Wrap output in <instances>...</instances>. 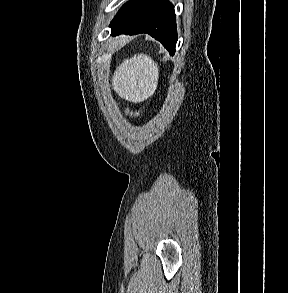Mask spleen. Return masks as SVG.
I'll use <instances>...</instances> for the list:
<instances>
[{
	"mask_svg": "<svg viewBox=\"0 0 288 293\" xmlns=\"http://www.w3.org/2000/svg\"><path fill=\"white\" fill-rule=\"evenodd\" d=\"M158 76L157 63L148 55L138 54L116 68L112 86L121 98L141 102L154 94Z\"/></svg>",
	"mask_w": 288,
	"mask_h": 293,
	"instance_id": "3e777b00",
	"label": "spleen"
}]
</instances>
